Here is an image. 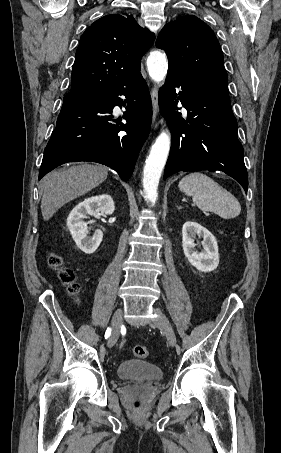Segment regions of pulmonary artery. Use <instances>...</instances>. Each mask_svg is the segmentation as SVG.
Instances as JSON below:
<instances>
[{
    "label": "pulmonary artery",
    "instance_id": "1",
    "mask_svg": "<svg viewBox=\"0 0 281 453\" xmlns=\"http://www.w3.org/2000/svg\"><path fill=\"white\" fill-rule=\"evenodd\" d=\"M114 110L115 111H118L119 110V107L117 105L114 106Z\"/></svg>",
    "mask_w": 281,
    "mask_h": 453
}]
</instances>
